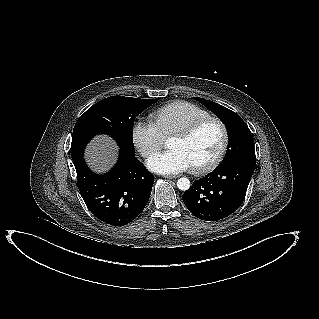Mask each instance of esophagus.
<instances>
[{
  "instance_id": "esophagus-1",
  "label": "esophagus",
  "mask_w": 319,
  "mask_h": 319,
  "mask_svg": "<svg viewBox=\"0 0 319 319\" xmlns=\"http://www.w3.org/2000/svg\"><path fill=\"white\" fill-rule=\"evenodd\" d=\"M164 178H167V179H176V178H178V176H176V175H164Z\"/></svg>"
}]
</instances>
